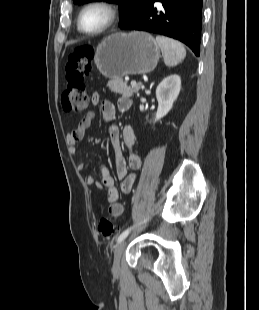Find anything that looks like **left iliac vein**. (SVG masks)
I'll list each match as a JSON object with an SVG mask.
<instances>
[{
    "mask_svg": "<svg viewBox=\"0 0 259 310\" xmlns=\"http://www.w3.org/2000/svg\"><path fill=\"white\" fill-rule=\"evenodd\" d=\"M126 244H127L126 240H122L121 242H119V244L116 246L114 250V259L112 266V272L114 274H118L120 272L121 257L125 250Z\"/></svg>",
    "mask_w": 259,
    "mask_h": 310,
    "instance_id": "left-iliac-vein-1",
    "label": "left iliac vein"
}]
</instances>
